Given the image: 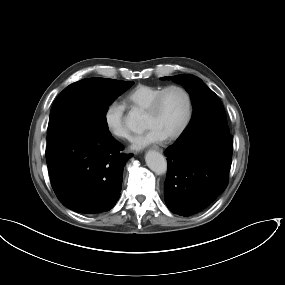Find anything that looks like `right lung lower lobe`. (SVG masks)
<instances>
[{
  "mask_svg": "<svg viewBox=\"0 0 285 285\" xmlns=\"http://www.w3.org/2000/svg\"><path fill=\"white\" fill-rule=\"evenodd\" d=\"M109 131L77 126L46 148L52 188L67 208L82 214L112 209L119 199L130 155Z\"/></svg>",
  "mask_w": 285,
  "mask_h": 285,
  "instance_id": "right-lung-lower-lobe-1",
  "label": "right lung lower lobe"
}]
</instances>
